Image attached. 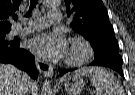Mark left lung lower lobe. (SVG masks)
<instances>
[{
	"label": "left lung lower lobe",
	"mask_w": 135,
	"mask_h": 95,
	"mask_svg": "<svg viewBox=\"0 0 135 95\" xmlns=\"http://www.w3.org/2000/svg\"><path fill=\"white\" fill-rule=\"evenodd\" d=\"M92 66H105L117 71L123 77L122 58L119 53L110 51L107 55H95L94 61L90 64ZM74 69H59L60 75H64Z\"/></svg>",
	"instance_id": "1"
}]
</instances>
